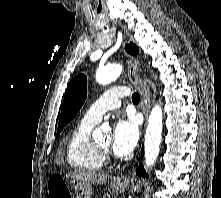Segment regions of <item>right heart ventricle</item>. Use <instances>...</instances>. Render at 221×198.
Wrapping results in <instances>:
<instances>
[{"mask_svg": "<svg viewBox=\"0 0 221 198\" xmlns=\"http://www.w3.org/2000/svg\"><path fill=\"white\" fill-rule=\"evenodd\" d=\"M95 123L82 120L70 133L66 143L68 164L81 171L100 170L105 162V155L100 146L91 138Z\"/></svg>", "mask_w": 221, "mask_h": 198, "instance_id": "obj_1", "label": "right heart ventricle"}]
</instances>
